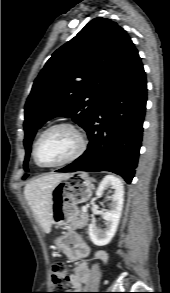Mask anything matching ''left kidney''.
Wrapping results in <instances>:
<instances>
[{"label":"left kidney","mask_w":170,"mask_h":293,"mask_svg":"<svg viewBox=\"0 0 170 293\" xmlns=\"http://www.w3.org/2000/svg\"><path fill=\"white\" fill-rule=\"evenodd\" d=\"M108 188L114 189V193L111 196L112 202L110 209L103 213V219L106 221V229H96L93 223L88 228L90 239L97 246H104L111 241L116 233L123 208L124 186L121 180L115 176H106L99 184L96 195L101 197L103 192Z\"/></svg>","instance_id":"1"}]
</instances>
